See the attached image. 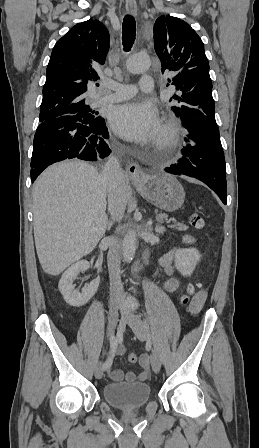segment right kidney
Masks as SVG:
<instances>
[{
  "mask_svg": "<svg viewBox=\"0 0 259 448\" xmlns=\"http://www.w3.org/2000/svg\"><path fill=\"white\" fill-rule=\"evenodd\" d=\"M90 264L87 260H81V262H76L73 266H70L64 274H62V278L59 282V290L67 304L69 306H84L87 304L88 300L94 296L95 292L98 290V286L100 284V278H96L93 282H90L87 288H83L81 294L78 290H74L73 280H75L77 274L79 272H85L88 270Z\"/></svg>",
  "mask_w": 259,
  "mask_h": 448,
  "instance_id": "ca27d5eb",
  "label": "right kidney"
}]
</instances>
